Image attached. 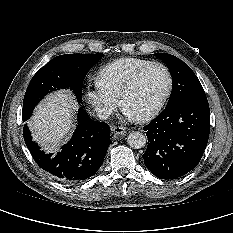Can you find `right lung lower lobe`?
Here are the masks:
<instances>
[{
  "mask_svg": "<svg viewBox=\"0 0 233 233\" xmlns=\"http://www.w3.org/2000/svg\"><path fill=\"white\" fill-rule=\"evenodd\" d=\"M109 132L107 123L92 120L83 108H79L78 125L73 137L58 154L52 156L45 154L32 141L27 125L23 128L25 143L34 160L54 179L63 183L80 182L98 171L111 144Z\"/></svg>",
  "mask_w": 233,
  "mask_h": 233,
  "instance_id": "98d812e1",
  "label": "right lung lower lobe"
}]
</instances>
